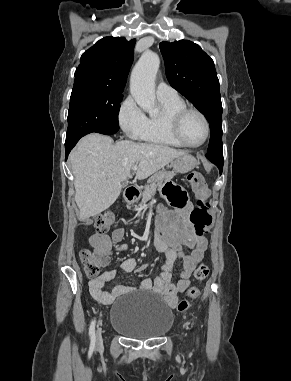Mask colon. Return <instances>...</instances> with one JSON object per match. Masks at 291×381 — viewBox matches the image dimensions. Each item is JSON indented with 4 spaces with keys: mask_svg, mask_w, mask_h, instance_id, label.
I'll return each instance as SVG.
<instances>
[{
    "mask_svg": "<svg viewBox=\"0 0 291 381\" xmlns=\"http://www.w3.org/2000/svg\"><path fill=\"white\" fill-rule=\"evenodd\" d=\"M189 182L198 197L197 207L191 212L190 221L194 226L195 234L197 236H204L208 233L212 224V216L208 212L206 201L208 187L203 175L198 172H194L190 175ZM183 202V199L174 198L175 205H182ZM114 221V213L105 211L89 219L87 225L94 227L97 233L104 234L109 230ZM80 259L84 266L85 274L93 278L98 275L100 268L109 262V254L105 251L82 249L80 251ZM208 275L209 267L203 263L199 264L194 271V277L198 282L204 281ZM199 295L200 287L198 285L191 286L187 291L186 298L178 303L177 310L179 312L187 311L190 302L197 299Z\"/></svg>",
    "mask_w": 291,
    "mask_h": 381,
    "instance_id": "obj_1",
    "label": "colon"
}]
</instances>
